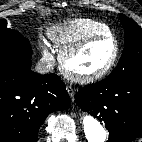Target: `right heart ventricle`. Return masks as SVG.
Wrapping results in <instances>:
<instances>
[{"instance_id":"1","label":"right heart ventricle","mask_w":142,"mask_h":142,"mask_svg":"<svg viewBox=\"0 0 142 142\" xmlns=\"http://www.w3.org/2000/svg\"><path fill=\"white\" fill-rule=\"evenodd\" d=\"M107 34L111 30L106 24L91 19L71 20L49 31L51 41L62 52L91 36Z\"/></svg>"}]
</instances>
